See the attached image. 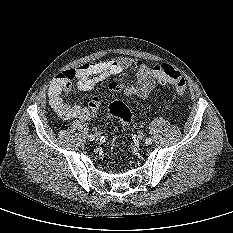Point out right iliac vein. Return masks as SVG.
<instances>
[{
  "instance_id": "right-iliac-vein-1",
  "label": "right iliac vein",
  "mask_w": 233,
  "mask_h": 233,
  "mask_svg": "<svg viewBox=\"0 0 233 233\" xmlns=\"http://www.w3.org/2000/svg\"><path fill=\"white\" fill-rule=\"evenodd\" d=\"M99 138H100V135H99V134H96L94 139H95L96 141H98Z\"/></svg>"
}]
</instances>
